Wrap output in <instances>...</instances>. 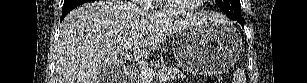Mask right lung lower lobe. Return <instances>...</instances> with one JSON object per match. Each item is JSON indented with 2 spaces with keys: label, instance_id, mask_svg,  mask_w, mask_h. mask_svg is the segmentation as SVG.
<instances>
[{
  "label": "right lung lower lobe",
  "instance_id": "obj_1",
  "mask_svg": "<svg viewBox=\"0 0 307 83\" xmlns=\"http://www.w3.org/2000/svg\"><path fill=\"white\" fill-rule=\"evenodd\" d=\"M89 2V0H66L62 8V19L75 7Z\"/></svg>",
  "mask_w": 307,
  "mask_h": 83
}]
</instances>
